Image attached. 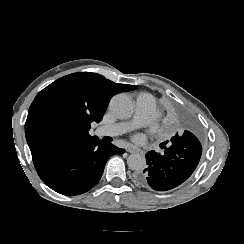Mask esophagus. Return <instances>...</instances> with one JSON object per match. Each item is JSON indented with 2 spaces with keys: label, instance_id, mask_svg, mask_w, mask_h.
I'll return each mask as SVG.
<instances>
[{
  "label": "esophagus",
  "instance_id": "34e87169",
  "mask_svg": "<svg viewBox=\"0 0 244 244\" xmlns=\"http://www.w3.org/2000/svg\"><path fill=\"white\" fill-rule=\"evenodd\" d=\"M126 151L129 152V153H136L137 152V150L133 146H131V145H127L126 146ZM139 153L142 154V155L144 154L141 151H139Z\"/></svg>",
  "mask_w": 244,
  "mask_h": 244
}]
</instances>
